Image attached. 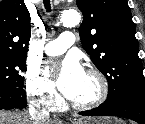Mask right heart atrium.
Listing matches in <instances>:
<instances>
[{"mask_svg": "<svg viewBox=\"0 0 145 124\" xmlns=\"http://www.w3.org/2000/svg\"><path fill=\"white\" fill-rule=\"evenodd\" d=\"M26 93L32 103L42 109L52 111L59 105V96L54 87L36 69H28L25 79Z\"/></svg>", "mask_w": 145, "mask_h": 124, "instance_id": "obj_1", "label": "right heart atrium"}]
</instances>
